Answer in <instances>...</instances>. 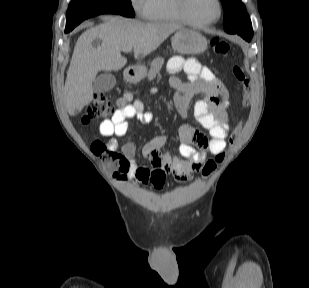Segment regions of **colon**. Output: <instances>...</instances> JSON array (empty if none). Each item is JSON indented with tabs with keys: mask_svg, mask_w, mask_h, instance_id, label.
Segmentation results:
<instances>
[{
	"mask_svg": "<svg viewBox=\"0 0 309 288\" xmlns=\"http://www.w3.org/2000/svg\"><path fill=\"white\" fill-rule=\"evenodd\" d=\"M212 46L217 54L226 56L229 53L230 45L227 41L215 39L212 41ZM232 74L234 78L242 86V107H247L250 104L252 97V85L251 81L246 75L241 65L235 64L232 66ZM116 111V107L110 97L105 93H98L95 95L91 105L87 108L85 114L82 117L83 123H88L93 119L107 118L113 115ZM240 124L229 135V144L232 146L238 139ZM91 150L94 154L98 155L105 163L108 170L117 174L120 180H126L127 162L124 156L116 152L110 151L106 144L100 140H94L91 142ZM225 159V152L218 153L214 159L207 160L202 166V172L204 175L211 174L218 164L222 163Z\"/></svg>",
	"mask_w": 309,
	"mask_h": 288,
	"instance_id": "1",
	"label": "colon"
}]
</instances>
